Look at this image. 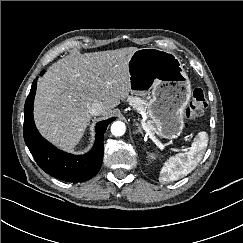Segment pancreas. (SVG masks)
Here are the masks:
<instances>
[{"label": "pancreas", "instance_id": "cf45deb5", "mask_svg": "<svg viewBox=\"0 0 243 243\" xmlns=\"http://www.w3.org/2000/svg\"><path fill=\"white\" fill-rule=\"evenodd\" d=\"M128 102L138 112H147V103L145 100L139 97H129ZM147 125L151 131H156V127L152 124L151 121H148Z\"/></svg>", "mask_w": 243, "mask_h": 243}]
</instances>
